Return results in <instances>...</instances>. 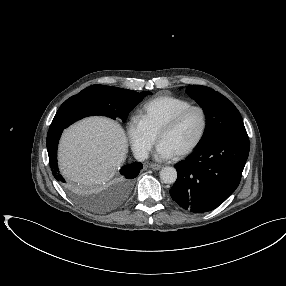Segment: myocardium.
I'll return each mask as SVG.
<instances>
[{
    "label": "myocardium",
    "instance_id": "obj_1",
    "mask_svg": "<svg viewBox=\"0 0 286 286\" xmlns=\"http://www.w3.org/2000/svg\"><path fill=\"white\" fill-rule=\"evenodd\" d=\"M193 110H197L201 113L202 116V128L201 131L198 135V137L196 138V140L187 148L175 153L174 155L176 157H182V156H186L192 152H194L202 143V141L204 140L207 130H208V115L206 110L200 106V105H190L182 110H180L179 112H177L176 114H174L170 119H168L159 129L158 133H157V139L158 141H160L161 136L167 132L168 130L174 128L188 113H190Z\"/></svg>",
    "mask_w": 286,
    "mask_h": 286
}]
</instances>
